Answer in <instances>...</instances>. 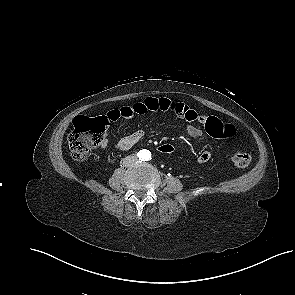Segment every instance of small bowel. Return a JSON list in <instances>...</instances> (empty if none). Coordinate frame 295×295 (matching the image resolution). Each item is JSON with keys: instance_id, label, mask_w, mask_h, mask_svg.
Here are the masks:
<instances>
[{"instance_id": "1", "label": "small bowel", "mask_w": 295, "mask_h": 295, "mask_svg": "<svg viewBox=\"0 0 295 295\" xmlns=\"http://www.w3.org/2000/svg\"><path fill=\"white\" fill-rule=\"evenodd\" d=\"M153 111L173 112L178 117L186 120L188 122L187 132L193 138H199L202 135V130L194 123L206 126L209 120H218L214 117L199 114L196 110L182 102L170 100L164 97H147L142 101H137L131 105H125L118 109H112L106 114L105 118L107 121L114 122L121 118L130 119L135 115H141ZM143 137L144 132L142 130L135 131L122 137L117 143V148L119 150H128L137 144ZM106 146L107 142L103 141L101 147L105 148ZM210 159L211 153L209 151H203L197 157L199 163H206Z\"/></svg>"}]
</instances>
